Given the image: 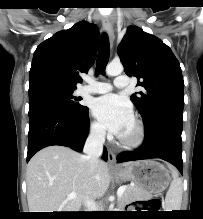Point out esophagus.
<instances>
[{"instance_id": "1", "label": "esophagus", "mask_w": 203, "mask_h": 219, "mask_svg": "<svg viewBox=\"0 0 203 219\" xmlns=\"http://www.w3.org/2000/svg\"><path fill=\"white\" fill-rule=\"evenodd\" d=\"M102 26L105 32L108 34L110 42L113 43L115 38L114 30L111 21L107 17H103ZM108 162L111 167H116L115 154L111 150L108 152Z\"/></svg>"}]
</instances>
